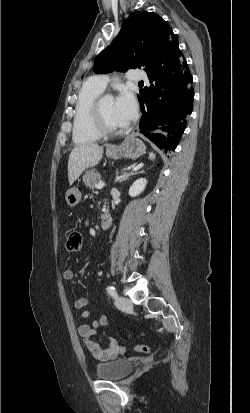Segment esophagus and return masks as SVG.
<instances>
[{"instance_id":"34e87169","label":"esophagus","mask_w":250,"mask_h":413,"mask_svg":"<svg viewBox=\"0 0 250 413\" xmlns=\"http://www.w3.org/2000/svg\"><path fill=\"white\" fill-rule=\"evenodd\" d=\"M137 132H138V130L135 129V130L133 131V134H136ZM109 150H115V149H114L113 147H110Z\"/></svg>"}]
</instances>
